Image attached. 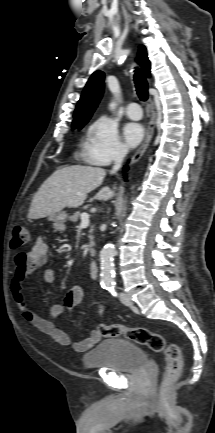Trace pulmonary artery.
<instances>
[{"label": "pulmonary artery", "instance_id": "e3ab8cb5", "mask_svg": "<svg viewBox=\"0 0 215 433\" xmlns=\"http://www.w3.org/2000/svg\"><path fill=\"white\" fill-rule=\"evenodd\" d=\"M127 115L129 118L139 120L142 117V109L137 102H132L127 106Z\"/></svg>", "mask_w": 215, "mask_h": 433}]
</instances>
